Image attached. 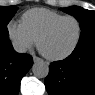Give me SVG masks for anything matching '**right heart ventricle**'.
Returning <instances> with one entry per match:
<instances>
[{
	"label": "right heart ventricle",
	"mask_w": 95,
	"mask_h": 95,
	"mask_svg": "<svg viewBox=\"0 0 95 95\" xmlns=\"http://www.w3.org/2000/svg\"><path fill=\"white\" fill-rule=\"evenodd\" d=\"M64 15L46 8H33L22 15L21 24L28 34L37 41L39 35L54 21Z\"/></svg>",
	"instance_id": "obj_1"
}]
</instances>
